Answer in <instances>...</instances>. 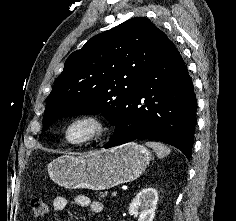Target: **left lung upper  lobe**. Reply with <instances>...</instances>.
I'll return each instance as SVG.
<instances>
[{"label":"left lung upper lobe","instance_id":"left-lung-upper-lobe-1","mask_svg":"<svg viewBox=\"0 0 236 221\" xmlns=\"http://www.w3.org/2000/svg\"><path fill=\"white\" fill-rule=\"evenodd\" d=\"M166 38L143 17L92 37L67 58L47 99L43 129L59 118L76 114L103 113L116 124L139 77Z\"/></svg>","mask_w":236,"mask_h":221}]
</instances>
